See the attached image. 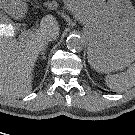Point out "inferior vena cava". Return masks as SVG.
Instances as JSON below:
<instances>
[{"instance_id":"obj_1","label":"inferior vena cava","mask_w":135,"mask_h":135,"mask_svg":"<svg viewBox=\"0 0 135 135\" xmlns=\"http://www.w3.org/2000/svg\"><path fill=\"white\" fill-rule=\"evenodd\" d=\"M56 39V35L53 33L46 34L44 37V41L47 43L49 41H53Z\"/></svg>"}]
</instances>
